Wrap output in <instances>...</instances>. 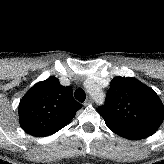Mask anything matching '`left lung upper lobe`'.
<instances>
[{"label":"left lung upper lobe","instance_id":"1","mask_svg":"<svg viewBox=\"0 0 164 164\" xmlns=\"http://www.w3.org/2000/svg\"><path fill=\"white\" fill-rule=\"evenodd\" d=\"M99 114L113 127L153 135L164 119V106L150 87L135 78L115 77Z\"/></svg>","mask_w":164,"mask_h":164}]
</instances>
